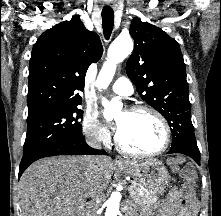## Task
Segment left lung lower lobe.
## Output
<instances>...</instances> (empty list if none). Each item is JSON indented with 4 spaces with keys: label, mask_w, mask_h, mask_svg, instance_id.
Returning a JSON list of instances; mask_svg holds the SVG:
<instances>
[{
    "label": "left lung lower lobe",
    "mask_w": 221,
    "mask_h": 216,
    "mask_svg": "<svg viewBox=\"0 0 221 216\" xmlns=\"http://www.w3.org/2000/svg\"><path fill=\"white\" fill-rule=\"evenodd\" d=\"M172 153L185 154L191 157L192 159H194L197 162V164L200 165V153H194L192 151H186V150H181V149H170L168 154H172Z\"/></svg>",
    "instance_id": "0a47b994"
}]
</instances>
